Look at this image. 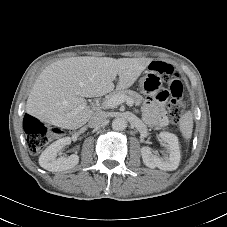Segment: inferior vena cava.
I'll return each instance as SVG.
<instances>
[{"label": "inferior vena cava", "mask_w": 227, "mask_h": 227, "mask_svg": "<svg viewBox=\"0 0 227 227\" xmlns=\"http://www.w3.org/2000/svg\"><path fill=\"white\" fill-rule=\"evenodd\" d=\"M106 118H107V115L105 112L97 111V112L93 113V115L90 117V119L88 121V126L91 128L98 127L104 123Z\"/></svg>", "instance_id": "1"}]
</instances>
